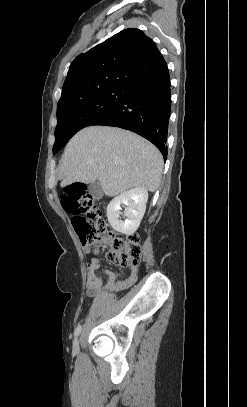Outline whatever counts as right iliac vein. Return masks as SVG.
Returning <instances> with one entry per match:
<instances>
[{"instance_id":"63e3f726","label":"right iliac vein","mask_w":247,"mask_h":407,"mask_svg":"<svg viewBox=\"0 0 247 407\" xmlns=\"http://www.w3.org/2000/svg\"><path fill=\"white\" fill-rule=\"evenodd\" d=\"M79 351V339L75 338L73 342V353H77Z\"/></svg>"}]
</instances>
